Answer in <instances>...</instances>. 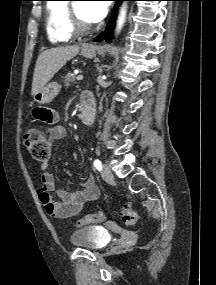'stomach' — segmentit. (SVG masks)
Here are the masks:
<instances>
[{"mask_svg":"<svg viewBox=\"0 0 216 285\" xmlns=\"http://www.w3.org/2000/svg\"><path fill=\"white\" fill-rule=\"evenodd\" d=\"M98 49L96 46L91 49L84 47L81 51V55L85 58L92 59L96 56ZM60 89L61 86L57 82H50L34 95V101L38 104H48L59 94Z\"/></svg>","mask_w":216,"mask_h":285,"instance_id":"stomach-1","label":"stomach"}]
</instances>
